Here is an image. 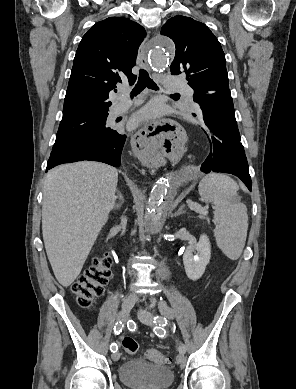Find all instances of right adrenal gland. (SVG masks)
Masks as SVG:
<instances>
[{
  "instance_id": "2a0ac1e0",
  "label": "right adrenal gland",
  "mask_w": 296,
  "mask_h": 389,
  "mask_svg": "<svg viewBox=\"0 0 296 389\" xmlns=\"http://www.w3.org/2000/svg\"><path fill=\"white\" fill-rule=\"evenodd\" d=\"M117 197H118L120 202L118 204L113 205L112 209H114V210H119L124 202L123 195L121 194L120 191H117Z\"/></svg>"
}]
</instances>
